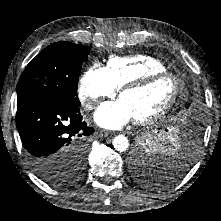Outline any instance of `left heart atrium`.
I'll list each match as a JSON object with an SVG mask.
<instances>
[{
	"label": "left heart atrium",
	"mask_w": 221,
	"mask_h": 221,
	"mask_svg": "<svg viewBox=\"0 0 221 221\" xmlns=\"http://www.w3.org/2000/svg\"><path fill=\"white\" fill-rule=\"evenodd\" d=\"M95 121L107 129H119L133 119V115L122 99L105 102L95 112Z\"/></svg>",
	"instance_id": "left-heart-atrium-1"
}]
</instances>
